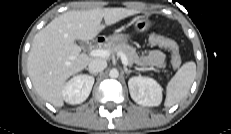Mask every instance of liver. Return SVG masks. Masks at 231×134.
Wrapping results in <instances>:
<instances>
[{
  "instance_id": "liver-1",
  "label": "liver",
  "mask_w": 231,
  "mask_h": 134,
  "mask_svg": "<svg viewBox=\"0 0 231 134\" xmlns=\"http://www.w3.org/2000/svg\"><path fill=\"white\" fill-rule=\"evenodd\" d=\"M137 13L126 8H96L68 11L53 19L35 35L27 60L28 74L38 95L62 107L65 81L85 69L92 60L81 53L75 41L93 40L105 26ZM102 19L105 25H101Z\"/></svg>"
}]
</instances>
